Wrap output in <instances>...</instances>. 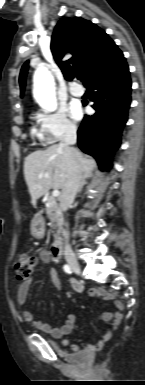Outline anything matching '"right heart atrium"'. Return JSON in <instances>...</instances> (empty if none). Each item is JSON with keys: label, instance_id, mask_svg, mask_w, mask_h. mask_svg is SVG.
<instances>
[{"label": "right heart atrium", "instance_id": "d8ad5b80", "mask_svg": "<svg viewBox=\"0 0 145 385\" xmlns=\"http://www.w3.org/2000/svg\"><path fill=\"white\" fill-rule=\"evenodd\" d=\"M37 121L40 125L41 138L48 144L56 143L77 130L65 106H59L52 112L39 113Z\"/></svg>", "mask_w": 145, "mask_h": 385}]
</instances>
